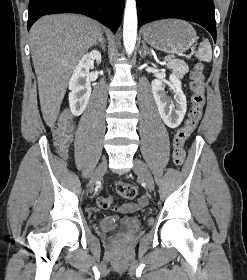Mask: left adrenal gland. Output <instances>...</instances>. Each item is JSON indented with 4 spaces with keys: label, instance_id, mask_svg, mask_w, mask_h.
<instances>
[{
    "label": "left adrenal gland",
    "instance_id": "1",
    "mask_svg": "<svg viewBox=\"0 0 247 280\" xmlns=\"http://www.w3.org/2000/svg\"><path fill=\"white\" fill-rule=\"evenodd\" d=\"M146 55H151L149 48L146 46V43L143 42L142 46V56L145 57Z\"/></svg>",
    "mask_w": 247,
    "mask_h": 280
}]
</instances>
